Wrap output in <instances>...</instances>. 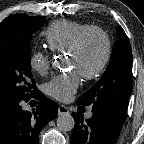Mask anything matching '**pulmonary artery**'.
<instances>
[{
  "label": "pulmonary artery",
  "instance_id": "obj_1",
  "mask_svg": "<svg viewBox=\"0 0 144 144\" xmlns=\"http://www.w3.org/2000/svg\"><path fill=\"white\" fill-rule=\"evenodd\" d=\"M91 116H92L91 112H88L87 115H86L87 118H90Z\"/></svg>",
  "mask_w": 144,
  "mask_h": 144
}]
</instances>
